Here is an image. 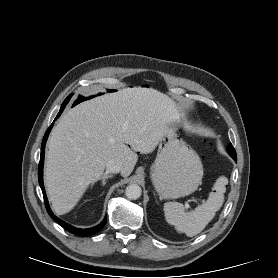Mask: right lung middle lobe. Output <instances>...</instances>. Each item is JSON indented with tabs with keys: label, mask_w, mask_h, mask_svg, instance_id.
<instances>
[{
	"label": "right lung middle lobe",
	"mask_w": 278,
	"mask_h": 278,
	"mask_svg": "<svg viewBox=\"0 0 278 278\" xmlns=\"http://www.w3.org/2000/svg\"><path fill=\"white\" fill-rule=\"evenodd\" d=\"M72 95H70V96H68L65 100H64V104H67L68 103V101L70 100V97H71Z\"/></svg>",
	"instance_id": "right-lung-middle-lobe-1"
}]
</instances>
